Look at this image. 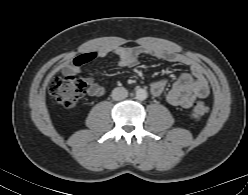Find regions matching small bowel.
<instances>
[{
    "mask_svg": "<svg viewBox=\"0 0 248 195\" xmlns=\"http://www.w3.org/2000/svg\"><path fill=\"white\" fill-rule=\"evenodd\" d=\"M141 54L190 67V72L181 74L168 92L167 101L170 105L188 109L192 107L196 99L206 98L209 95L210 88L208 81L203 68L197 62L158 47H115L86 53L74 59L71 64L65 65L62 72L65 75L79 73L82 65L86 62L92 59L105 58L109 55H113L121 67H135L138 64V58ZM83 81L91 96L101 97L105 94V88L97 81L95 75H87L83 78ZM165 85V79L152 81L150 84L151 93L154 96H160L164 91Z\"/></svg>",
    "mask_w": 248,
    "mask_h": 195,
    "instance_id": "obj_1",
    "label": "small bowel"
}]
</instances>
